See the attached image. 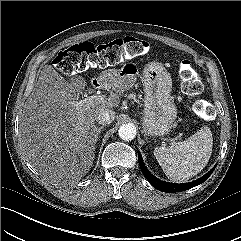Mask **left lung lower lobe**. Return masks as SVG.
<instances>
[{
    "label": "left lung lower lobe",
    "instance_id": "left-lung-lower-lobe-1",
    "mask_svg": "<svg viewBox=\"0 0 241 241\" xmlns=\"http://www.w3.org/2000/svg\"><path fill=\"white\" fill-rule=\"evenodd\" d=\"M138 162H139V166L143 172L144 177L149 181V183L152 186H154L156 189L163 191V192H167V193H176V192H181V191L191 189V188L201 184L206 179H208L215 169V167H213L207 174H205L203 177H201L200 179L195 180L193 182L185 183V184H175V183L163 182V181L157 179L155 176H153L145 167L140 153H138Z\"/></svg>",
    "mask_w": 241,
    "mask_h": 241
}]
</instances>
